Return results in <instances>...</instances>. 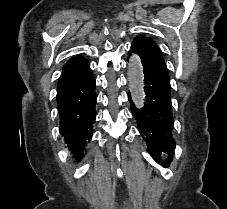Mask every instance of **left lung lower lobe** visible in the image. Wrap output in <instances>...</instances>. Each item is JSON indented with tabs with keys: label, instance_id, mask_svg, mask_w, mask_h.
<instances>
[{
	"label": "left lung lower lobe",
	"instance_id": "left-lung-lower-lobe-1",
	"mask_svg": "<svg viewBox=\"0 0 227 209\" xmlns=\"http://www.w3.org/2000/svg\"><path fill=\"white\" fill-rule=\"evenodd\" d=\"M137 51L131 46L129 55ZM141 58V57H140ZM144 70L145 103L137 109L131 99L132 115L137 119L141 134L146 138L148 151L155 160H159L162 152L172 153L175 140L172 136L173 114L171 105V87L169 75L161 67L141 58Z\"/></svg>",
	"mask_w": 227,
	"mask_h": 209
}]
</instances>
